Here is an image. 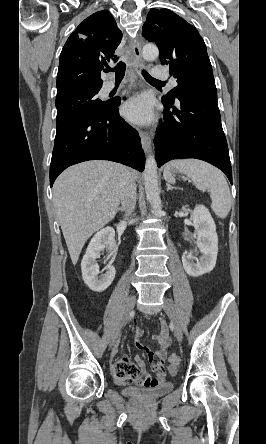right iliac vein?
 I'll return each instance as SVG.
<instances>
[{
  "instance_id": "right-iliac-vein-1",
  "label": "right iliac vein",
  "mask_w": 266,
  "mask_h": 444,
  "mask_svg": "<svg viewBox=\"0 0 266 444\" xmlns=\"http://www.w3.org/2000/svg\"><path fill=\"white\" fill-rule=\"evenodd\" d=\"M135 303H136V297L134 295L130 296L127 300L122 318H121V320H120V322H119V324L112 336V339L110 341V345H109L110 348L114 345L115 341L120 336L121 329L126 324L127 320L129 319V317L134 309Z\"/></svg>"
}]
</instances>
